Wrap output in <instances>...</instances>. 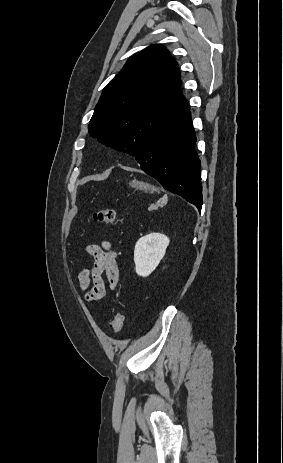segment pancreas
Masks as SVG:
<instances>
[{
  "label": "pancreas",
  "mask_w": 283,
  "mask_h": 463,
  "mask_svg": "<svg viewBox=\"0 0 283 463\" xmlns=\"http://www.w3.org/2000/svg\"><path fill=\"white\" fill-rule=\"evenodd\" d=\"M148 209H149L150 211L155 210V209H156V206L151 205Z\"/></svg>",
  "instance_id": "cf45deb5"
}]
</instances>
